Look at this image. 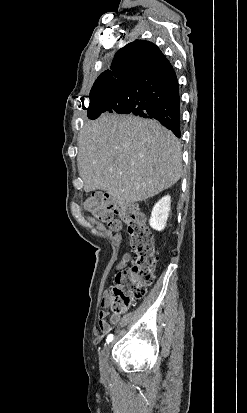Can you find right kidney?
<instances>
[{
    "label": "right kidney",
    "mask_w": 247,
    "mask_h": 413,
    "mask_svg": "<svg viewBox=\"0 0 247 413\" xmlns=\"http://www.w3.org/2000/svg\"><path fill=\"white\" fill-rule=\"evenodd\" d=\"M171 198L169 194L162 196L152 209L150 217V227L155 229V231H163L166 227L167 219L170 213Z\"/></svg>",
    "instance_id": "ca27d5eb"
}]
</instances>
